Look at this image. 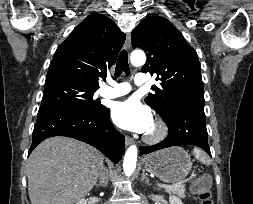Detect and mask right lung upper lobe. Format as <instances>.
I'll use <instances>...</instances> for the list:
<instances>
[{
  "instance_id": "1",
  "label": "right lung upper lobe",
  "mask_w": 253,
  "mask_h": 204,
  "mask_svg": "<svg viewBox=\"0 0 253 204\" xmlns=\"http://www.w3.org/2000/svg\"><path fill=\"white\" fill-rule=\"evenodd\" d=\"M125 38L107 16L89 15L57 48L45 84L71 82L98 89L99 78L116 62Z\"/></svg>"
}]
</instances>
